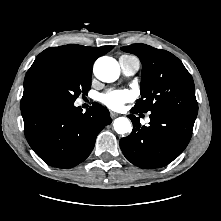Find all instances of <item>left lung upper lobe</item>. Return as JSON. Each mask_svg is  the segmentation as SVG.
<instances>
[{
	"instance_id": "left-lung-upper-lobe-1",
	"label": "left lung upper lobe",
	"mask_w": 221,
	"mask_h": 221,
	"mask_svg": "<svg viewBox=\"0 0 221 221\" xmlns=\"http://www.w3.org/2000/svg\"><path fill=\"white\" fill-rule=\"evenodd\" d=\"M139 57L143 69L137 112L166 111L196 118L198 104L191 74L172 53L146 44L121 48Z\"/></svg>"
}]
</instances>
